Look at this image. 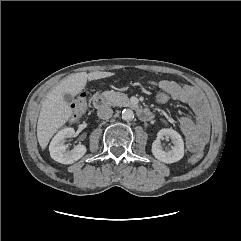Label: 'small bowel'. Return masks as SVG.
I'll use <instances>...</instances> for the list:
<instances>
[{"mask_svg":"<svg viewBox=\"0 0 241 241\" xmlns=\"http://www.w3.org/2000/svg\"><path fill=\"white\" fill-rule=\"evenodd\" d=\"M149 83L168 92L171 99L183 102L192 109L195 118L182 117L179 126L187 148L194 153L200 152L210 133L208 111L201 94L190 85H181L171 80H150Z\"/></svg>","mask_w":241,"mask_h":241,"instance_id":"small-bowel-1","label":"small bowel"}]
</instances>
